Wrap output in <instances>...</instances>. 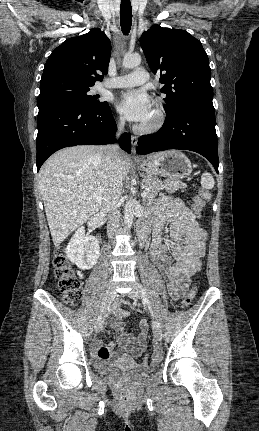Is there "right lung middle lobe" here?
Masks as SVG:
<instances>
[{
  "label": "right lung middle lobe",
  "instance_id": "dd1d6c3e",
  "mask_svg": "<svg viewBox=\"0 0 259 431\" xmlns=\"http://www.w3.org/2000/svg\"><path fill=\"white\" fill-rule=\"evenodd\" d=\"M91 88L77 86L67 81H52L43 86L38 96V107L57 103L73 102L88 107L107 106V102L98 100V96L89 94Z\"/></svg>",
  "mask_w": 259,
  "mask_h": 431
}]
</instances>
